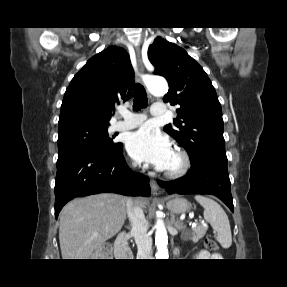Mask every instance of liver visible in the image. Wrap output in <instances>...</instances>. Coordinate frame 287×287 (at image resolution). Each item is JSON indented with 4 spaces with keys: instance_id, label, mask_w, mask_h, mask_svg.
I'll use <instances>...</instances> for the list:
<instances>
[{
    "instance_id": "obj_1",
    "label": "liver",
    "mask_w": 287,
    "mask_h": 287,
    "mask_svg": "<svg viewBox=\"0 0 287 287\" xmlns=\"http://www.w3.org/2000/svg\"><path fill=\"white\" fill-rule=\"evenodd\" d=\"M145 206L143 199L137 200ZM126 219V199L98 194L69 202L60 213L59 242L62 259H88L116 235Z\"/></svg>"
}]
</instances>
